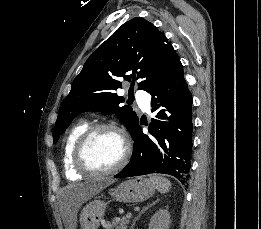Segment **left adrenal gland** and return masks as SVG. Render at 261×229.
<instances>
[{"mask_svg":"<svg viewBox=\"0 0 261 229\" xmlns=\"http://www.w3.org/2000/svg\"><path fill=\"white\" fill-rule=\"evenodd\" d=\"M159 199H157V201H155V203H152V205H148V207H144V209H142L141 213H139L138 217H135L132 225H131V229H134V225H136V221H138L139 217H141L142 213H144V211H147V209H149V207H153V205H156V203H158Z\"/></svg>","mask_w":261,"mask_h":229,"instance_id":"a2214340","label":"left adrenal gland"}]
</instances>
